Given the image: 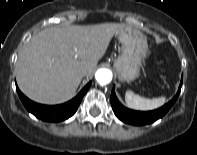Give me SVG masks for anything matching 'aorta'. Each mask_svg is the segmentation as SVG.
Returning <instances> with one entry per match:
<instances>
[{"mask_svg": "<svg viewBox=\"0 0 197 155\" xmlns=\"http://www.w3.org/2000/svg\"><path fill=\"white\" fill-rule=\"evenodd\" d=\"M95 78L99 85H107L112 80V72L108 69H99L95 74Z\"/></svg>", "mask_w": 197, "mask_h": 155, "instance_id": "obj_1", "label": "aorta"}]
</instances>
